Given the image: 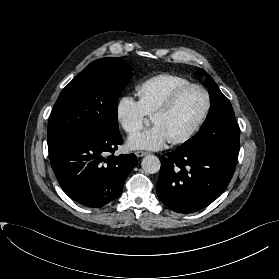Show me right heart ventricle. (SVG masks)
I'll use <instances>...</instances> for the list:
<instances>
[{
    "label": "right heart ventricle",
    "mask_w": 279,
    "mask_h": 279,
    "mask_svg": "<svg viewBox=\"0 0 279 279\" xmlns=\"http://www.w3.org/2000/svg\"><path fill=\"white\" fill-rule=\"evenodd\" d=\"M188 83L191 82L187 78L171 73L157 74L142 81L136 91L144 113L151 116L176 88Z\"/></svg>",
    "instance_id": "obj_1"
}]
</instances>
